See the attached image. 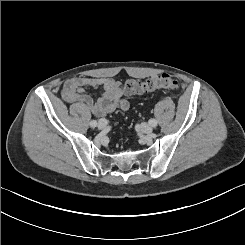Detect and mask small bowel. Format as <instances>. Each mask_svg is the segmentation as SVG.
<instances>
[{
	"label": "small bowel",
	"mask_w": 245,
	"mask_h": 245,
	"mask_svg": "<svg viewBox=\"0 0 245 245\" xmlns=\"http://www.w3.org/2000/svg\"><path fill=\"white\" fill-rule=\"evenodd\" d=\"M102 89L103 93L95 101L86 89ZM122 83L113 78L74 77L67 80L62 89L63 99L73 104L72 112L77 121L84 124L91 115L104 117L114 110L126 111L129 102L124 98Z\"/></svg>",
	"instance_id": "1"
}]
</instances>
